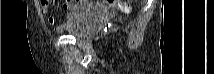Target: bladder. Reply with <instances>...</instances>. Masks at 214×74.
<instances>
[{"instance_id": "obj_1", "label": "bladder", "mask_w": 214, "mask_h": 74, "mask_svg": "<svg viewBox=\"0 0 214 74\" xmlns=\"http://www.w3.org/2000/svg\"><path fill=\"white\" fill-rule=\"evenodd\" d=\"M109 18V13L94 2L78 6L63 26V31L77 38L91 37Z\"/></svg>"}]
</instances>
